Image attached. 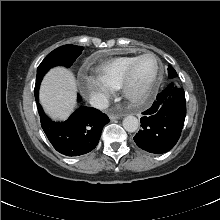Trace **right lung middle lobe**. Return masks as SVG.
Here are the masks:
<instances>
[{
  "mask_svg": "<svg viewBox=\"0 0 220 220\" xmlns=\"http://www.w3.org/2000/svg\"><path fill=\"white\" fill-rule=\"evenodd\" d=\"M82 49V46L64 45L53 50L38 66L36 83H40L47 71L54 66L70 67L81 54Z\"/></svg>",
  "mask_w": 220,
  "mask_h": 220,
  "instance_id": "right-lung-middle-lobe-1",
  "label": "right lung middle lobe"
}]
</instances>
